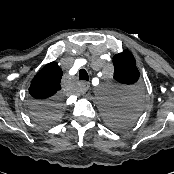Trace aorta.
<instances>
[{
    "label": "aorta",
    "instance_id": "1",
    "mask_svg": "<svg viewBox=\"0 0 174 174\" xmlns=\"http://www.w3.org/2000/svg\"><path fill=\"white\" fill-rule=\"evenodd\" d=\"M98 90H99L101 98L104 100L111 99L112 95L114 93L113 89H111L109 87H105V86H100Z\"/></svg>",
    "mask_w": 174,
    "mask_h": 174
}]
</instances>
